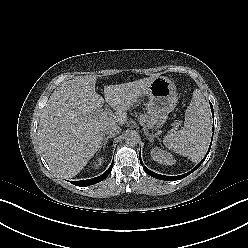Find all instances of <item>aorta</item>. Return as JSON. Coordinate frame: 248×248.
Returning <instances> with one entry per match:
<instances>
[{
    "label": "aorta",
    "instance_id": "obj_1",
    "mask_svg": "<svg viewBox=\"0 0 248 248\" xmlns=\"http://www.w3.org/2000/svg\"><path fill=\"white\" fill-rule=\"evenodd\" d=\"M125 143L134 146L137 145L140 141V136L135 131H130L125 135Z\"/></svg>",
    "mask_w": 248,
    "mask_h": 248
}]
</instances>
